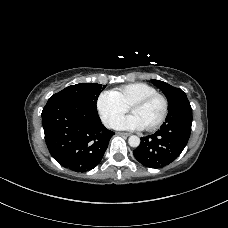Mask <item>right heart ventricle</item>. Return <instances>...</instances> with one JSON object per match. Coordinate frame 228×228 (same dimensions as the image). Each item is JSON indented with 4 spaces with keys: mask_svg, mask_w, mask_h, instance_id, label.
Segmentation results:
<instances>
[{
    "mask_svg": "<svg viewBox=\"0 0 228 228\" xmlns=\"http://www.w3.org/2000/svg\"><path fill=\"white\" fill-rule=\"evenodd\" d=\"M113 93L118 97L122 104L129 108L136 100L146 95L157 93V89L150 84L137 82L115 89L113 90Z\"/></svg>",
    "mask_w": 228,
    "mask_h": 228,
    "instance_id": "right-heart-ventricle-1",
    "label": "right heart ventricle"
}]
</instances>
